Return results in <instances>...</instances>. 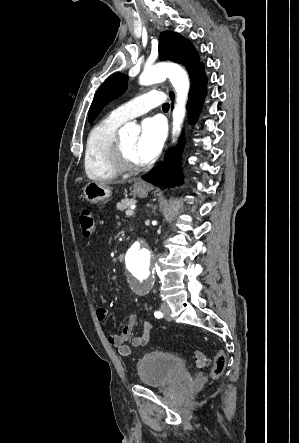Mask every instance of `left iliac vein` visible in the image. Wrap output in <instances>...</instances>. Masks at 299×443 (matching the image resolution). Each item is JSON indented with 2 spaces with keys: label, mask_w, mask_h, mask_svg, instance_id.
<instances>
[{
  "label": "left iliac vein",
  "mask_w": 299,
  "mask_h": 443,
  "mask_svg": "<svg viewBox=\"0 0 299 443\" xmlns=\"http://www.w3.org/2000/svg\"><path fill=\"white\" fill-rule=\"evenodd\" d=\"M161 310H162V312L164 314V318L166 320L170 321L171 320V310H170L169 305L167 303H163L161 305Z\"/></svg>",
  "instance_id": "obj_1"
}]
</instances>
